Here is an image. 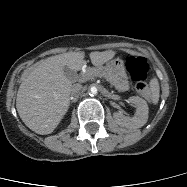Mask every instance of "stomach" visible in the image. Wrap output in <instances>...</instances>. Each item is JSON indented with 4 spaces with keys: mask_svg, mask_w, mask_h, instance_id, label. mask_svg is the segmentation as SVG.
Instances as JSON below:
<instances>
[{
    "mask_svg": "<svg viewBox=\"0 0 187 187\" xmlns=\"http://www.w3.org/2000/svg\"><path fill=\"white\" fill-rule=\"evenodd\" d=\"M106 68L116 80H124L127 78L124 62L120 58L110 60Z\"/></svg>",
    "mask_w": 187,
    "mask_h": 187,
    "instance_id": "1",
    "label": "stomach"
}]
</instances>
